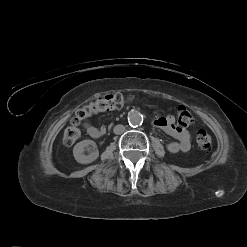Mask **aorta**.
Returning <instances> with one entry per match:
<instances>
[{
  "instance_id": "762f6f07",
  "label": "aorta",
  "mask_w": 247,
  "mask_h": 247,
  "mask_svg": "<svg viewBox=\"0 0 247 247\" xmlns=\"http://www.w3.org/2000/svg\"><path fill=\"white\" fill-rule=\"evenodd\" d=\"M142 115L138 111H131L128 114V122L130 126H138L142 123Z\"/></svg>"
}]
</instances>
